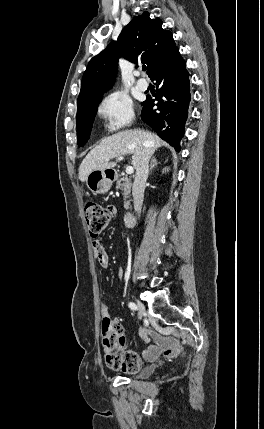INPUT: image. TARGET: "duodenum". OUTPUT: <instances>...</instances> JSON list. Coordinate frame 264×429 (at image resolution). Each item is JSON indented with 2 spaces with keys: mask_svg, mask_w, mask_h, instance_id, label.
I'll list each match as a JSON object with an SVG mask.
<instances>
[{
  "mask_svg": "<svg viewBox=\"0 0 264 429\" xmlns=\"http://www.w3.org/2000/svg\"><path fill=\"white\" fill-rule=\"evenodd\" d=\"M137 222V218L134 214L132 213H126L124 215V223L127 227H132L136 224Z\"/></svg>",
  "mask_w": 264,
  "mask_h": 429,
  "instance_id": "410a0bca",
  "label": "duodenum"
}]
</instances>
